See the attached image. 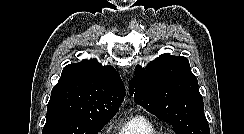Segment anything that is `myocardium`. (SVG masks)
<instances>
[{
    "instance_id": "myocardium-1",
    "label": "myocardium",
    "mask_w": 244,
    "mask_h": 134,
    "mask_svg": "<svg viewBox=\"0 0 244 134\" xmlns=\"http://www.w3.org/2000/svg\"><path fill=\"white\" fill-rule=\"evenodd\" d=\"M160 134H173V133H160Z\"/></svg>"
}]
</instances>
